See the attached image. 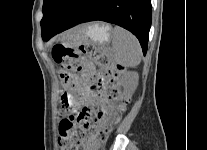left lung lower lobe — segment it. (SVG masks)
Here are the masks:
<instances>
[{
	"mask_svg": "<svg viewBox=\"0 0 207 150\" xmlns=\"http://www.w3.org/2000/svg\"><path fill=\"white\" fill-rule=\"evenodd\" d=\"M151 0H73L43 40L80 23L101 20L132 32L146 54L151 26Z\"/></svg>",
	"mask_w": 207,
	"mask_h": 150,
	"instance_id": "0a47b994",
	"label": "left lung lower lobe"
}]
</instances>
